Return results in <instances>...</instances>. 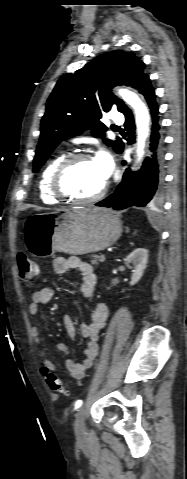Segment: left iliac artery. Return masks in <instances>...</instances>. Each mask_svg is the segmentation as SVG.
I'll use <instances>...</instances> for the list:
<instances>
[{
	"mask_svg": "<svg viewBox=\"0 0 187 479\" xmlns=\"http://www.w3.org/2000/svg\"><path fill=\"white\" fill-rule=\"evenodd\" d=\"M82 404H83L82 400H77L75 402V409H79L82 406Z\"/></svg>",
	"mask_w": 187,
	"mask_h": 479,
	"instance_id": "left-iliac-artery-1",
	"label": "left iliac artery"
}]
</instances>
